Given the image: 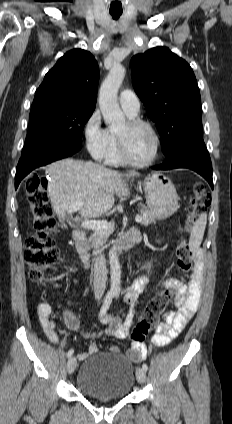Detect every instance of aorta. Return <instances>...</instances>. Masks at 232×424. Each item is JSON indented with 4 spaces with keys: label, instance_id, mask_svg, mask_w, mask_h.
I'll list each match as a JSON object with an SVG mask.
<instances>
[{
    "label": "aorta",
    "instance_id": "762f6f07",
    "mask_svg": "<svg viewBox=\"0 0 232 424\" xmlns=\"http://www.w3.org/2000/svg\"><path fill=\"white\" fill-rule=\"evenodd\" d=\"M125 68L122 65H114L99 90V107L104 121L111 127H118L125 123V115L121 111L117 93L125 77ZM111 286L110 292L118 294L121 289V268L115 249L109 252Z\"/></svg>",
    "mask_w": 232,
    "mask_h": 424
}]
</instances>
